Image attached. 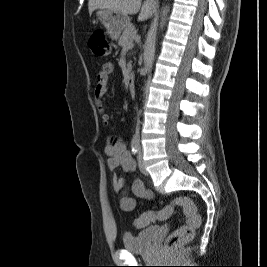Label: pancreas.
Listing matches in <instances>:
<instances>
[{
    "instance_id": "cf45deb5",
    "label": "pancreas",
    "mask_w": 267,
    "mask_h": 267,
    "mask_svg": "<svg viewBox=\"0 0 267 267\" xmlns=\"http://www.w3.org/2000/svg\"><path fill=\"white\" fill-rule=\"evenodd\" d=\"M135 33V28L132 24H129L123 31L120 39H119V45L121 46H127L128 43L132 42V36Z\"/></svg>"
}]
</instances>
